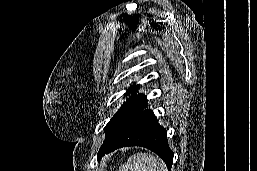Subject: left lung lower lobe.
Returning a JSON list of instances; mask_svg holds the SVG:
<instances>
[{
  "label": "left lung lower lobe",
  "instance_id": "0a47b994",
  "mask_svg": "<svg viewBox=\"0 0 257 171\" xmlns=\"http://www.w3.org/2000/svg\"><path fill=\"white\" fill-rule=\"evenodd\" d=\"M141 146L155 152L171 170L174 153L167 141L166 129L158 124L151 110H142L129 126L116 138L102 144L98 151V160L121 147Z\"/></svg>",
  "mask_w": 257,
  "mask_h": 171
}]
</instances>
